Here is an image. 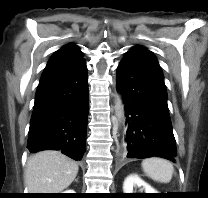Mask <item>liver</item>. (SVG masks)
<instances>
[{
  "label": "liver",
  "mask_w": 208,
  "mask_h": 198,
  "mask_svg": "<svg viewBox=\"0 0 208 198\" xmlns=\"http://www.w3.org/2000/svg\"><path fill=\"white\" fill-rule=\"evenodd\" d=\"M78 169L59 151H41L27 161L24 183L30 193H60L73 182Z\"/></svg>",
  "instance_id": "1"
}]
</instances>
